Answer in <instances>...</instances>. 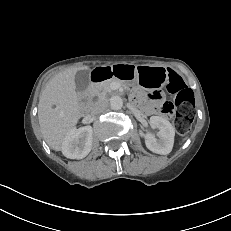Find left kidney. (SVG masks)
<instances>
[{
    "label": "left kidney",
    "mask_w": 231,
    "mask_h": 231,
    "mask_svg": "<svg viewBox=\"0 0 231 231\" xmlns=\"http://www.w3.org/2000/svg\"><path fill=\"white\" fill-rule=\"evenodd\" d=\"M150 125L153 129H158L157 139L152 133L140 132V135L144 138L146 147L157 154L167 155L171 152L174 144L175 129L172 124L160 117H150Z\"/></svg>",
    "instance_id": "left-kidney-1"
}]
</instances>
